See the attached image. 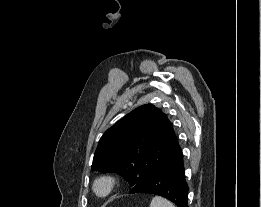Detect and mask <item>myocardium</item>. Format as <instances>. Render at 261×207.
<instances>
[{
  "instance_id": "1",
  "label": "myocardium",
  "mask_w": 261,
  "mask_h": 207,
  "mask_svg": "<svg viewBox=\"0 0 261 207\" xmlns=\"http://www.w3.org/2000/svg\"><path fill=\"white\" fill-rule=\"evenodd\" d=\"M116 186V178L110 174L97 177L92 184V191L98 198L109 196Z\"/></svg>"
}]
</instances>
